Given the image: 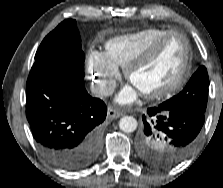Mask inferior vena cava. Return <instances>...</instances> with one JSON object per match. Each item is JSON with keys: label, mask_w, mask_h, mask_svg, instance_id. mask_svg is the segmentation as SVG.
<instances>
[{"label": "inferior vena cava", "mask_w": 223, "mask_h": 188, "mask_svg": "<svg viewBox=\"0 0 223 188\" xmlns=\"http://www.w3.org/2000/svg\"><path fill=\"white\" fill-rule=\"evenodd\" d=\"M115 90V84L108 82H97L91 85V92L95 97L112 95Z\"/></svg>", "instance_id": "obj_1"}]
</instances>
